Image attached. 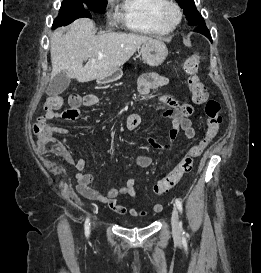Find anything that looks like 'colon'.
<instances>
[{"instance_id":"colon-1","label":"colon","mask_w":261,"mask_h":273,"mask_svg":"<svg viewBox=\"0 0 261 273\" xmlns=\"http://www.w3.org/2000/svg\"><path fill=\"white\" fill-rule=\"evenodd\" d=\"M201 62L200 53L196 52L185 58L183 71L187 77V85L192 97L198 105L205 106L207 116L205 136L193 145L183 159L165 177L160 179L153 187V192L162 195L173 188L184 175L193 169L194 159L199 157L209 142L218 134L222 118L220 116V104L214 99H208L207 90L199 75ZM81 99L78 95L69 98V107L64 108V100L61 96L54 95L49 97L44 105L45 115L51 110L62 112V119L74 120L79 115ZM39 149L42 152H61V143L53 137L52 132L47 127L45 116L40 118L33 127Z\"/></svg>"}]
</instances>
